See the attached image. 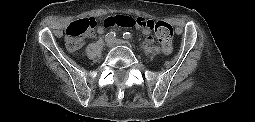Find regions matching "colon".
I'll return each instance as SVG.
<instances>
[{"mask_svg":"<svg viewBox=\"0 0 255 122\" xmlns=\"http://www.w3.org/2000/svg\"><path fill=\"white\" fill-rule=\"evenodd\" d=\"M108 23L122 28H138L144 31H153L161 45L165 55L173 51V28L163 21H154L144 17H130L116 15L108 18ZM96 27L94 19H80L70 23L66 29V43L71 50L78 49L82 40L93 32Z\"/></svg>","mask_w":255,"mask_h":122,"instance_id":"1","label":"colon"}]
</instances>
